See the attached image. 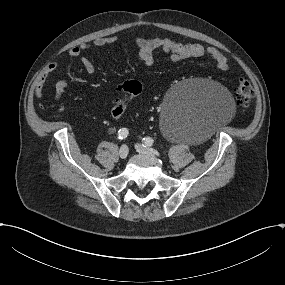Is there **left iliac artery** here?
Here are the masks:
<instances>
[{
  "label": "left iliac artery",
  "instance_id": "obj_1",
  "mask_svg": "<svg viewBox=\"0 0 285 285\" xmlns=\"http://www.w3.org/2000/svg\"><path fill=\"white\" fill-rule=\"evenodd\" d=\"M153 143H154V140L152 139V138H150V137H147V138H144V145H145V147L146 146H152L153 145ZM143 145V146H144Z\"/></svg>",
  "mask_w": 285,
  "mask_h": 285
}]
</instances>
